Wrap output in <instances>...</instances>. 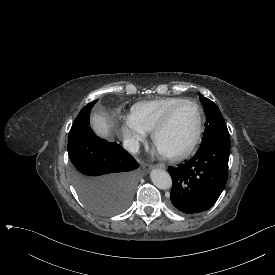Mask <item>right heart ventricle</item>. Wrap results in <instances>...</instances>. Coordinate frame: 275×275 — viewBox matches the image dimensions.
I'll list each match as a JSON object with an SVG mask.
<instances>
[{
  "instance_id": "obj_1",
  "label": "right heart ventricle",
  "mask_w": 275,
  "mask_h": 275,
  "mask_svg": "<svg viewBox=\"0 0 275 275\" xmlns=\"http://www.w3.org/2000/svg\"><path fill=\"white\" fill-rule=\"evenodd\" d=\"M185 100L179 97H165L141 102L132 106L128 118L144 132L150 133L174 105Z\"/></svg>"
}]
</instances>
